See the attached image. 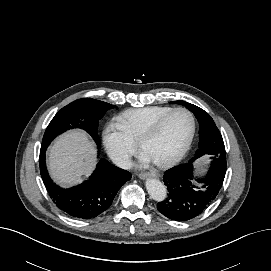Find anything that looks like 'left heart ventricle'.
I'll return each mask as SVG.
<instances>
[{"instance_id": "1", "label": "left heart ventricle", "mask_w": 271, "mask_h": 271, "mask_svg": "<svg viewBox=\"0 0 271 271\" xmlns=\"http://www.w3.org/2000/svg\"><path fill=\"white\" fill-rule=\"evenodd\" d=\"M192 129L190 116L179 111L171 115L159 132L144 146L153 161H161L175 155L187 142Z\"/></svg>"}]
</instances>
